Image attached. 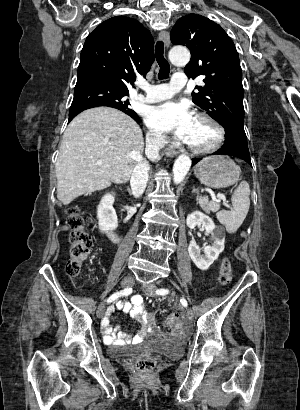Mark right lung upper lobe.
Masks as SVG:
<instances>
[{
	"label": "right lung upper lobe",
	"instance_id": "obj_1",
	"mask_svg": "<svg viewBox=\"0 0 300 410\" xmlns=\"http://www.w3.org/2000/svg\"><path fill=\"white\" fill-rule=\"evenodd\" d=\"M153 61L150 32L135 19L112 17L87 37L77 83H99L129 93L136 74L146 76Z\"/></svg>",
	"mask_w": 300,
	"mask_h": 410
}]
</instances>
